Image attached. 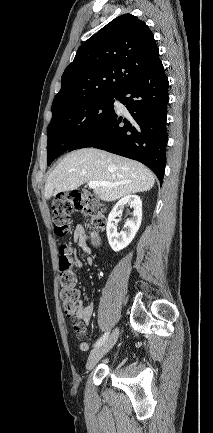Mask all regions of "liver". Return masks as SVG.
<instances>
[{
	"mask_svg": "<svg viewBox=\"0 0 213 433\" xmlns=\"http://www.w3.org/2000/svg\"><path fill=\"white\" fill-rule=\"evenodd\" d=\"M106 182L94 193L99 199L111 202L130 194L150 190L154 174L143 164L95 148H84L69 153L49 175L45 184V198L70 191L90 182Z\"/></svg>",
	"mask_w": 213,
	"mask_h": 433,
	"instance_id": "liver-1",
	"label": "liver"
}]
</instances>
